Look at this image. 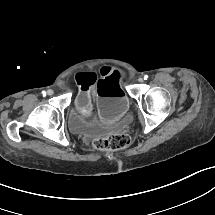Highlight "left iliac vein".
I'll return each mask as SVG.
<instances>
[{
	"mask_svg": "<svg viewBox=\"0 0 215 215\" xmlns=\"http://www.w3.org/2000/svg\"><path fill=\"white\" fill-rule=\"evenodd\" d=\"M138 81H139L140 83H142V82H143V78L140 77V78L138 79Z\"/></svg>",
	"mask_w": 215,
	"mask_h": 215,
	"instance_id": "left-iliac-vein-1",
	"label": "left iliac vein"
}]
</instances>
